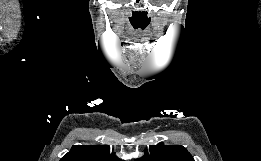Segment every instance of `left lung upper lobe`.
I'll use <instances>...</instances> for the list:
<instances>
[{
    "label": "left lung upper lobe",
    "mask_w": 261,
    "mask_h": 161,
    "mask_svg": "<svg viewBox=\"0 0 261 161\" xmlns=\"http://www.w3.org/2000/svg\"><path fill=\"white\" fill-rule=\"evenodd\" d=\"M136 161H194L190 153L181 145L150 146V155L146 154Z\"/></svg>",
    "instance_id": "1"
}]
</instances>
